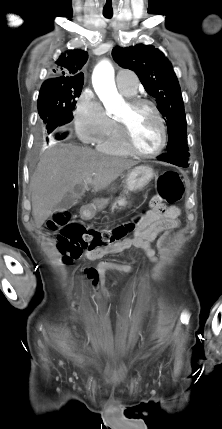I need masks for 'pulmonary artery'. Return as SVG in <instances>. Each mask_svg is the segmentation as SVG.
Returning <instances> with one entry per match:
<instances>
[{
  "mask_svg": "<svg viewBox=\"0 0 222 429\" xmlns=\"http://www.w3.org/2000/svg\"><path fill=\"white\" fill-rule=\"evenodd\" d=\"M118 89L127 95H133L137 92L138 79L137 76L129 70H121L116 76Z\"/></svg>",
  "mask_w": 222,
  "mask_h": 429,
  "instance_id": "obj_1",
  "label": "pulmonary artery"
}]
</instances>
